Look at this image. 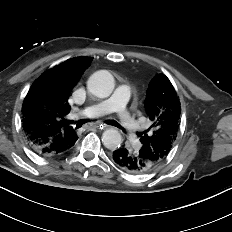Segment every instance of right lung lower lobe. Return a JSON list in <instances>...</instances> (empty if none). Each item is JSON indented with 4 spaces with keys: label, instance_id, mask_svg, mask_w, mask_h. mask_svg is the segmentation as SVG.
Instances as JSON below:
<instances>
[{
    "label": "right lung lower lobe",
    "instance_id": "right-lung-lower-lobe-1",
    "mask_svg": "<svg viewBox=\"0 0 232 232\" xmlns=\"http://www.w3.org/2000/svg\"><path fill=\"white\" fill-rule=\"evenodd\" d=\"M78 137H74L73 139H67L68 141H55L50 145L41 147V148H35L31 144L32 149L39 155L42 156H54L57 154H62L67 152L77 141Z\"/></svg>",
    "mask_w": 232,
    "mask_h": 232
}]
</instances>
